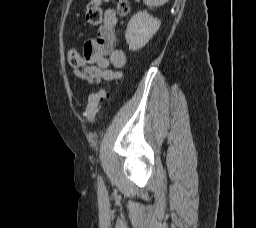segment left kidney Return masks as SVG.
I'll use <instances>...</instances> for the list:
<instances>
[{"mask_svg": "<svg viewBox=\"0 0 256 228\" xmlns=\"http://www.w3.org/2000/svg\"><path fill=\"white\" fill-rule=\"evenodd\" d=\"M161 22L146 11L136 13L129 21L125 32L129 49L137 51L144 47L158 31Z\"/></svg>", "mask_w": 256, "mask_h": 228, "instance_id": "left-kidney-1", "label": "left kidney"}]
</instances>
